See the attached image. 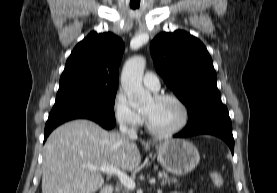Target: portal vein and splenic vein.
I'll return each instance as SVG.
<instances>
[{
  "label": "portal vein and splenic vein",
  "mask_w": 277,
  "mask_h": 193,
  "mask_svg": "<svg viewBox=\"0 0 277 193\" xmlns=\"http://www.w3.org/2000/svg\"><path fill=\"white\" fill-rule=\"evenodd\" d=\"M88 168H90L91 170H99V171H101L103 173H107V174H115L119 178L121 184L123 186H125L127 189L134 190L136 187L134 179L130 178L126 173H124L123 171H121L120 169H118L116 167H113V166H101V167L88 166ZM149 183L155 184L156 179L150 178Z\"/></svg>",
  "instance_id": "1"
}]
</instances>
